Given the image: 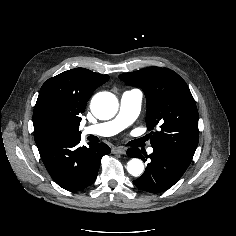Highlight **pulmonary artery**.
Wrapping results in <instances>:
<instances>
[{
	"instance_id": "obj_1",
	"label": "pulmonary artery",
	"mask_w": 236,
	"mask_h": 236,
	"mask_svg": "<svg viewBox=\"0 0 236 236\" xmlns=\"http://www.w3.org/2000/svg\"><path fill=\"white\" fill-rule=\"evenodd\" d=\"M143 93L139 89L125 91L120 98V108L117 116L106 122L87 126L83 129L84 135L112 136L129 125H131L139 115ZM148 153H153V148H148Z\"/></svg>"
}]
</instances>
